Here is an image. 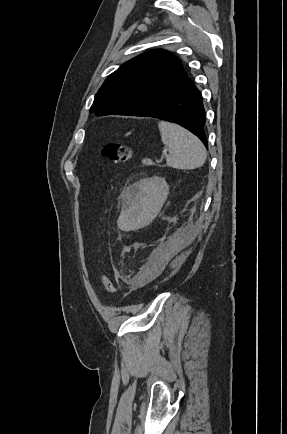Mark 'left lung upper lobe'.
Wrapping results in <instances>:
<instances>
[{"instance_id": "1", "label": "left lung upper lobe", "mask_w": 287, "mask_h": 434, "mask_svg": "<svg viewBox=\"0 0 287 434\" xmlns=\"http://www.w3.org/2000/svg\"><path fill=\"white\" fill-rule=\"evenodd\" d=\"M186 78L181 62L170 52H146L125 62L107 77L95 95L90 112L135 115L157 103Z\"/></svg>"}]
</instances>
